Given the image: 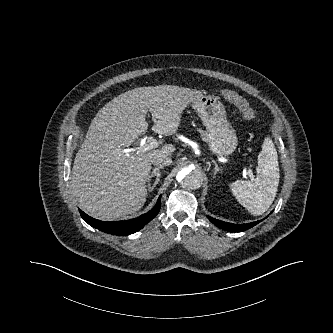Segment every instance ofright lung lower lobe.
Returning a JSON list of instances; mask_svg holds the SVG:
<instances>
[{"label":"right lung lower lobe","instance_id":"98d812e1","mask_svg":"<svg viewBox=\"0 0 333 333\" xmlns=\"http://www.w3.org/2000/svg\"><path fill=\"white\" fill-rule=\"evenodd\" d=\"M161 207V196L158 198L156 205L149 212L141 215L140 217L126 220V221H100L94 219L87 214H85L82 210H79L81 217L84 219L92 227L109 233L113 235H128L135 233L142 229L149 221H151L160 211Z\"/></svg>","mask_w":333,"mask_h":333}]
</instances>
